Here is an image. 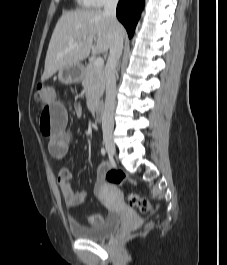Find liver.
Segmentation results:
<instances>
[{"mask_svg": "<svg viewBox=\"0 0 227 265\" xmlns=\"http://www.w3.org/2000/svg\"><path fill=\"white\" fill-rule=\"evenodd\" d=\"M118 30L124 37L125 30L121 24ZM113 31L110 18L100 10L64 13L52 33L41 80H47L64 67L80 64L91 51L93 54L107 53L112 44Z\"/></svg>", "mask_w": 227, "mask_h": 265, "instance_id": "liver-1", "label": "liver"}]
</instances>
